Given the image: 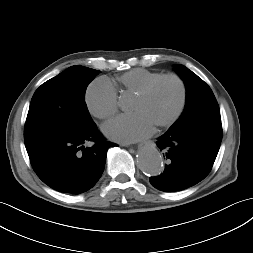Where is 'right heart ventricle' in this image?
I'll return each instance as SVG.
<instances>
[{"label":"right heart ventricle","mask_w":253,"mask_h":253,"mask_svg":"<svg viewBox=\"0 0 253 253\" xmlns=\"http://www.w3.org/2000/svg\"><path fill=\"white\" fill-rule=\"evenodd\" d=\"M160 75L162 74L159 72L143 68L132 69L117 77V89L124 94H136L149 81Z\"/></svg>","instance_id":"obj_1"}]
</instances>
